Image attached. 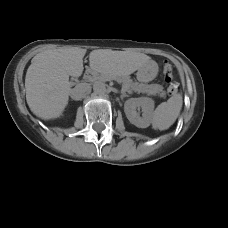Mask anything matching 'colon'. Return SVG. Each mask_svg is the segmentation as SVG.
Here are the masks:
<instances>
[{"label": "colon", "instance_id": "obj_1", "mask_svg": "<svg viewBox=\"0 0 228 228\" xmlns=\"http://www.w3.org/2000/svg\"><path fill=\"white\" fill-rule=\"evenodd\" d=\"M163 73H164L166 82L170 83L173 79V69L170 63H165L163 65ZM177 91H178V85L176 83H171L168 87V94L171 96L176 94Z\"/></svg>", "mask_w": 228, "mask_h": 228}]
</instances>
